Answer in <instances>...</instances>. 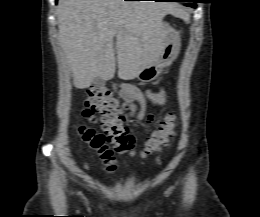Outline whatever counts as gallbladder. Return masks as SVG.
Segmentation results:
<instances>
[{
  "mask_svg": "<svg viewBox=\"0 0 260 217\" xmlns=\"http://www.w3.org/2000/svg\"><path fill=\"white\" fill-rule=\"evenodd\" d=\"M93 84L96 87H102V86H104V81L100 78H95L94 81H93Z\"/></svg>",
  "mask_w": 260,
  "mask_h": 217,
  "instance_id": "obj_1",
  "label": "gallbladder"
}]
</instances>
